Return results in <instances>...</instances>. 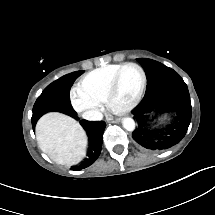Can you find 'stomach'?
<instances>
[{
    "mask_svg": "<svg viewBox=\"0 0 215 215\" xmlns=\"http://www.w3.org/2000/svg\"><path fill=\"white\" fill-rule=\"evenodd\" d=\"M169 115L163 114L162 116H158L154 119L153 125L155 128H163L166 122L169 120Z\"/></svg>",
    "mask_w": 215,
    "mask_h": 215,
    "instance_id": "stomach-1",
    "label": "stomach"
}]
</instances>
